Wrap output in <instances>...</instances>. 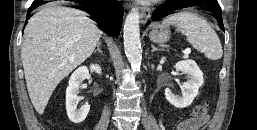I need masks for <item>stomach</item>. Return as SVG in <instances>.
Segmentation results:
<instances>
[{"instance_id": "0dacf381", "label": "stomach", "mask_w": 257, "mask_h": 130, "mask_svg": "<svg viewBox=\"0 0 257 130\" xmlns=\"http://www.w3.org/2000/svg\"><path fill=\"white\" fill-rule=\"evenodd\" d=\"M170 30L165 25H155L149 33V38L155 43H164L170 39Z\"/></svg>"}]
</instances>
